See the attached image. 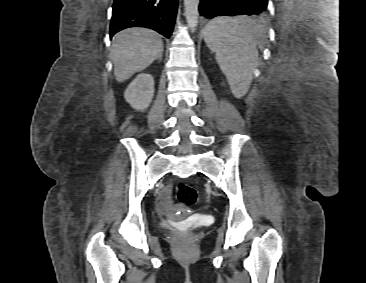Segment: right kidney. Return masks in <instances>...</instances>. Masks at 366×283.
<instances>
[{"instance_id": "1", "label": "right kidney", "mask_w": 366, "mask_h": 283, "mask_svg": "<svg viewBox=\"0 0 366 283\" xmlns=\"http://www.w3.org/2000/svg\"><path fill=\"white\" fill-rule=\"evenodd\" d=\"M154 96V79L148 73L139 74L124 92L125 100L132 108L140 111L147 109Z\"/></svg>"}]
</instances>
